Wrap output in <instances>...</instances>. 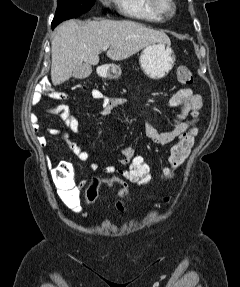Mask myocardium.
Here are the masks:
<instances>
[{
	"instance_id": "f54148a6",
	"label": "myocardium",
	"mask_w": 240,
	"mask_h": 287,
	"mask_svg": "<svg viewBox=\"0 0 240 287\" xmlns=\"http://www.w3.org/2000/svg\"><path fill=\"white\" fill-rule=\"evenodd\" d=\"M152 9L161 17H171L177 11V5L175 0H150ZM164 4H168L169 8Z\"/></svg>"
}]
</instances>
